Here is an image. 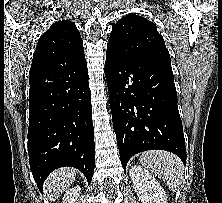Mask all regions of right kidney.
<instances>
[{"mask_svg":"<svg viewBox=\"0 0 222 203\" xmlns=\"http://www.w3.org/2000/svg\"><path fill=\"white\" fill-rule=\"evenodd\" d=\"M81 188L79 186L73 187L69 189L63 197V203H75L77 198L79 197V193Z\"/></svg>","mask_w":222,"mask_h":203,"instance_id":"1","label":"right kidney"}]
</instances>
